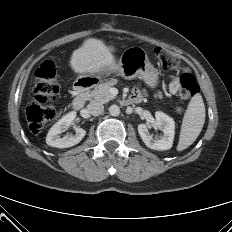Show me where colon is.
<instances>
[{"mask_svg":"<svg viewBox=\"0 0 232 232\" xmlns=\"http://www.w3.org/2000/svg\"><path fill=\"white\" fill-rule=\"evenodd\" d=\"M155 57L161 70L165 72L177 71L181 66V60L170 51L157 48ZM178 97L189 100L199 90L195 77L190 73H184L179 78ZM59 97V84L53 64L45 61L40 65L35 74L33 98L26 108V119L30 130L39 133L55 117V110L50 105Z\"/></svg>","mask_w":232,"mask_h":232,"instance_id":"colon-1","label":"colon"}]
</instances>
